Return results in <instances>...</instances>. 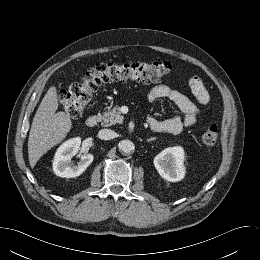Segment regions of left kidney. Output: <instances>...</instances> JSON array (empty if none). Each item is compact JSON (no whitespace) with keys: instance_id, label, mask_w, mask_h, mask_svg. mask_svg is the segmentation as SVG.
Here are the masks:
<instances>
[{"instance_id":"1","label":"left kidney","mask_w":260,"mask_h":260,"mask_svg":"<svg viewBox=\"0 0 260 260\" xmlns=\"http://www.w3.org/2000/svg\"><path fill=\"white\" fill-rule=\"evenodd\" d=\"M184 150L180 146L164 149L154 158V166L167 181H181L185 176Z\"/></svg>"}]
</instances>
